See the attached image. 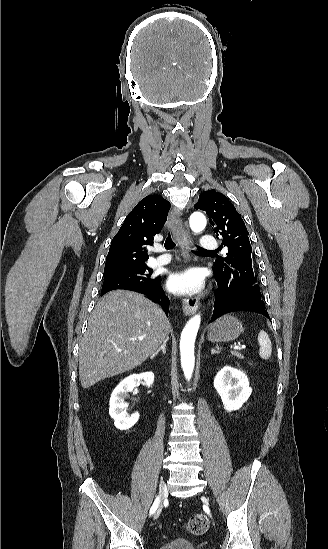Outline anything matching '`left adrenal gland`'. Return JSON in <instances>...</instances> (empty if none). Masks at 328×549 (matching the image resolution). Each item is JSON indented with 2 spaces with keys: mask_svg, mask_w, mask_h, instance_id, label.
I'll use <instances>...</instances> for the list:
<instances>
[{
  "mask_svg": "<svg viewBox=\"0 0 328 549\" xmlns=\"http://www.w3.org/2000/svg\"><path fill=\"white\" fill-rule=\"evenodd\" d=\"M211 353L213 355V353H218V351H215V349H211Z\"/></svg>",
  "mask_w": 328,
  "mask_h": 549,
  "instance_id": "1",
  "label": "left adrenal gland"
}]
</instances>
